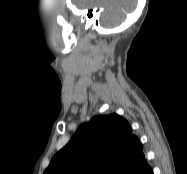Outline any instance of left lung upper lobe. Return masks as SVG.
Wrapping results in <instances>:
<instances>
[{
    "mask_svg": "<svg viewBox=\"0 0 187 174\" xmlns=\"http://www.w3.org/2000/svg\"><path fill=\"white\" fill-rule=\"evenodd\" d=\"M147 165L142 145L118 114L95 116L79 126L44 174H131Z\"/></svg>",
    "mask_w": 187,
    "mask_h": 174,
    "instance_id": "obj_1",
    "label": "left lung upper lobe"
}]
</instances>
